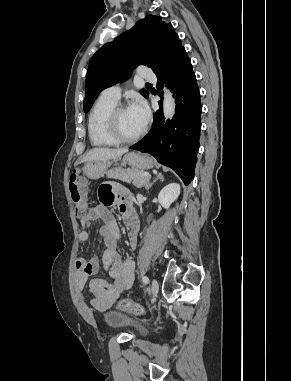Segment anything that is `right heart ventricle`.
Masks as SVG:
<instances>
[{"instance_id": "1", "label": "right heart ventricle", "mask_w": 291, "mask_h": 381, "mask_svg": "<svg viewBox=\"0 0 291 381\" xmlns=\"http://www.w3.org/2000/svg\"><path fill=\"white\" fill-rule=\"evenodd\" d=\"M117 105L116 100L100 96L88 116V136L94 147H112L115 142L106 132L105 122L109 112Z\"/></svg>"}]
</instances>
